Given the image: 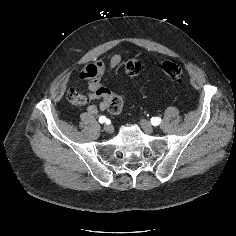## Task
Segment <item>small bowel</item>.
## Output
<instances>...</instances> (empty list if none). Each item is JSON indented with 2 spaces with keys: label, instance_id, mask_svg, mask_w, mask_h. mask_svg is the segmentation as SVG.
I'll list each match as a JSON object with an SVG mask.
<instances>
[{
  "label": "small bowel",
  "instance_id": "1",
  "mask_svg": "<svg viewBox=\"0 0 236 236\" xmlns=\"http://www.w3.org/2000/svg\"><path fill=\"white\" fill-rule=\"evenodd\" d=\"M123 64V57L120 54H114L109 59L108 71L117 72ZM79 77L88 81L89 99L100 101L98 105H89L87 108L88 113L94 115L100 110H106L112 99V92L104 86L105 65L103 61L98 59L85 65L80 70Z\"/></svg>",
  "mask_w": 236,
  "mask_h": 236
}]
</instances>
